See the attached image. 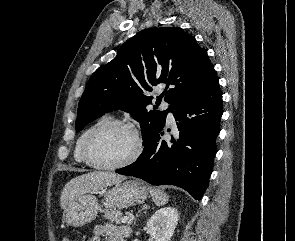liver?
Returning a JSON list of instances; mask_svg holds the SVG:
<instances>
[{"label":"liver","instance_id":"6515ba94","mask_svg":"<svg viewBox=\"0 0 295 241\" xmlns=\"http://www.w3.org/2000/svg\"><path fill=\"white\" fill-rule=\"evenodd\" d=\"M124 179V176L101 171L77 176L71 179L63 188L60 196V206L65 209L81 195L101 190Z\"/></svg>","mask_w":295,"mask_h":241}]
</instances>
